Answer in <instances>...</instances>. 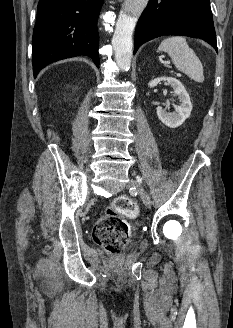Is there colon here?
Returning <instances> with one entry per match:
<instances>
[{
  "label": "colon",
  "instance_id": "colon-1",
  "mask_svg": "<svg viewBox=\"0 0 233 328\" xmlns=\"http://www.w3.org/2000/svg\"><path fill=\"white\" fill-rule=\"evenodd\" d=\"M138 206L127 196L117 197L109 206L106 214L97 221L93 228L94 241L111 254L118 255L125 247L130 230L125 218H134Z\"/></svg>",
  "mask_w": 233,
  "mask_h": 328
}]
</instances>
